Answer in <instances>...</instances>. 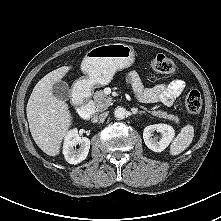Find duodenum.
I'll return each instance as SVG.
<instances>
[{"label": "duodenum", "mask_w": 221, "mask_h": 221, "mask_svg": "<svg viewBox=\"0 0 221 221\" xmlns=\"http://www.w3.org/2000/svg\"><path fill=\"white\" fill-rule=\"evenodd\" d=\"M75 100L78 104L80 117L85 121L90 120L95 114V106L93 102L83 98H78L77 96H75Z\"/></svg>", "instance_id": "duodenum-1"}]
</instances>
